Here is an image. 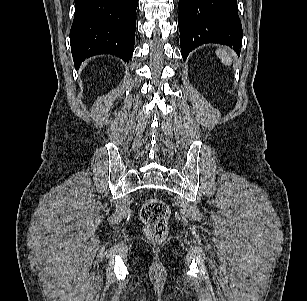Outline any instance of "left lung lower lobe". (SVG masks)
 I'll use <instances>...</instances> for the list:
<instances>
[{"label": "left lung lower lobe", "mask_w": 307, "mask_h": 301, "mask_svg": "<svg viewBox=\"0 0 307 301\" xmlns=\"http://www.w3.org/2000/svg\"><path fill=\"white\" fill-rule=\"evenodd\" d=\"M178 26L183 60L206 43L228 45L240 53L243 31L237 0H179Z\"/></svg>", "instance_id": "obj_1"}]
</instances>
